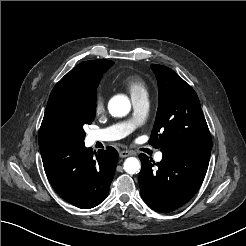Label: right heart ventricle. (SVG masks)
<instances>
[{
  "instance_id": "right-heart-ventricle-1",
  "label": "right heart ventricle",
  "mask_w": 246,
  "mask_h": 246,
  "mask_svg": "<svg viewBox=\"0 0 246 246\" xmlns=\"http://www.w3.org/2000/svg\"><path fill=\"white\" fill-rule=\"evenodd\" d=\"M126 88L129 90L131 97H136L144 94H148L147 86L145 82L136 76L128 77L124 80Z\"/></svg>"
}]
</instances>
